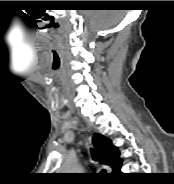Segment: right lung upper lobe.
I'll return each mask as SVG.
<instances>
[{"label": "right lung upper lobe", "instance_id": "obj_1", "mask_svg": "<svg viewBox=\"0 0 174 184\" xmlns=\"http://www.w3.org/2000/svg\"><path fill=\"white\" fill-rule=\"evenodd\" d=\"M92 141L101 162L110 166L114 173H116L122 163L118 149L112 146L110 139L98 133L93 136Z\"/></svg>", "mask_w": 174, "mask_h": 184}]
</instances>
